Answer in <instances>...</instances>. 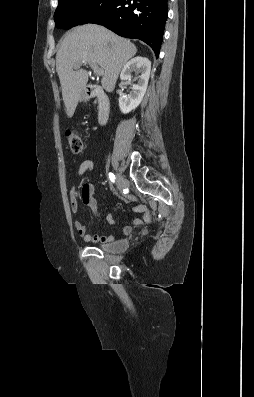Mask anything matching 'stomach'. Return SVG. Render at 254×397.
Masks as SVG:
<instances>
[{
	"mask_svg": "<svg viewBox=\"0 0 254 397\" xmlns=\"http://www.w3.org/2000/svg\"><path fill=\"white\" fill-rule=\"evenodd\" d=\"M84 99H85V95L82 93L81 97H80V100H84Z\"/></svg>",
	"mask_w": 254,
	"mask_h": 397,
	"instance_id": "0dacf381",
	"label": "stomach"
}]
</instances>
